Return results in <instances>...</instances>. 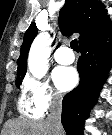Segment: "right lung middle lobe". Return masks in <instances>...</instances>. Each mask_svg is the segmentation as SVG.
Masks as SVG:
<instances>
[{
	"label": "right lung middle lobe",
	"mask_w": 112,
	"mask_h": 135,
	"mask_svg": "<svg viewBox=\"0 0 112 135\" xmlns=\"http://www.w3.org/2000/svg\"><path fill=\"white\" fill-rule=\"evenodd\" d=\"M23 78L16 79V86L19 87L22 83Z\"/></svg>",
	"instance_id": "obj_1"
}]
</instances>
